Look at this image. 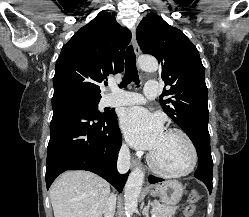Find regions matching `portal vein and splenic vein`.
Segmentation results:
<instances>
[{"label":"portal vein and splenic vein","mask_w":249,"mask_h":217,"mask_svg":"<svg viewBox=\"0 0 249 217\" xmlns=\"http://www.w3.org/2000/svg\"><path fill=\"white\" fill-rule=\"evenodd\" d=\"M151 217H156V214H155V213H153V214L151 215Z\"/></svg>","instance_id":"portal-vein-and-splenic-vein-1"}]
</instances>
